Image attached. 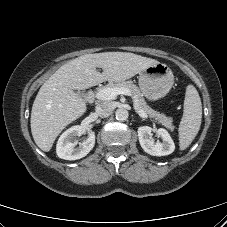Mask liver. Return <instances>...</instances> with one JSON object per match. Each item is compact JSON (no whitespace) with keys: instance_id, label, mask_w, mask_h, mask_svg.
Segmentation results:
<instances>
[{"instance_id":"6515ba94","label":"liver","mask_w":227,"mask_h":227,"mask_svg":"<svg viewBox=\"0 0 227 227\" xmlns=\"http://www.w3.org/2000/svg\"><path fill=\"white\" fill-rule=\"evenodd\" d=\"M157 63L134 53L103 52L86 54L61 66L41 86L32 106L31 132L36 145L50 151L61 131L86 112V102L74 90L104 81L121 82Z\"/></svg>"}]
</instances>
